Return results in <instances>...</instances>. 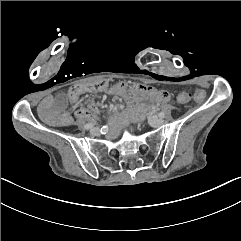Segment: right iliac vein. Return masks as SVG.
I'll use <instances>...</instances> for the list:
<instances>
[{
	"instance_id": "right-iliac-vein-1",
	"label": "right iliac vein",
	"mask_w": 241,
	"mask_h": 241,
	"mask_svg": "<svg viewBox=\"0 0 241 241\" xmlns=\"http://www.w3.org/2000/svg\"><path fill=\"white\" fill-rule=\"evenodd\" d=\"M99 132H100V130H99L98 127H94V128H92V129L90 130V133H91L92 135H98Z\"/></svg>"
}]
</instances>
